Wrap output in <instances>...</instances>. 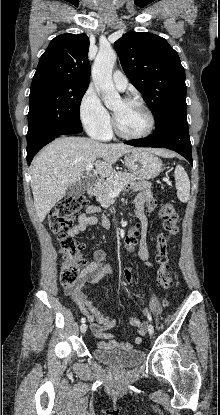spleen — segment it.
<instances>
[{
	"mask_svg": "<svg viewBox=\"0 0 220 415\" xmlns=\"http://www.w3.org/2000/svg\"><path fill=\"white\" fill-rule=\"evenodd\" d=\"M174 176L178 199L182 202H187L190 198V180L181 165L176 166Z\"/></svg>",
	"mask_w": 220,
	"mask_h": 415,
	"instance_id": "3e777b00",
	"label": "spleen"
}]
</instances>
